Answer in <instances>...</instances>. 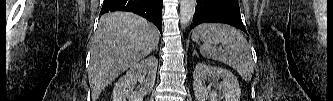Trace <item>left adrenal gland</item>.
Wrapping results in <instances>:
<instances>
[{"mask_svg": "<svg viewBox=\"0 0 333 101\" xmlns=\"http://www.w3.org/2000/svg\"><path fill=\"white\" fill-rule=\"evenodd\" d=\"M196 55L198 57V54L196 51H193V56Z\"/></svg>", "mask_w": 333, "mask_h": 101, "instance_id": "left-adrenal-gland-1", "label": "left adrenal gland"}]
</instances>
